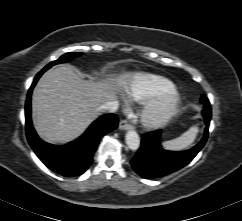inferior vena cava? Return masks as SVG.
<instances>
[{"label": "inferior vena cava", "instance_id": "602c4592", "mask_svg": "<svg viewBox=\"0 0 242 221\" xmlns=\"http://www.w3.org/2000/svg\"><path fill=\"white\" fill-rule=\"evenodd\" d=\"M101 111H106L108 113H115L118 110V102L117 101H106L104 104L100 106Z\"/></svg>", "mask_w": 242, "mask_h": 221}]
</instances>
